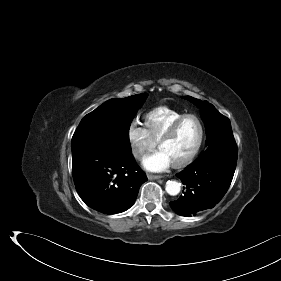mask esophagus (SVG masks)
I'll return each mask as SVG.
<instances>
[{"label": "esophagus", "instance_id": "esophagus-1", "mask_svg": "<svg viewBox=\"0 0 281 281\" xmlns=\"http://www.w3.org/2000/svg\"><path fill=\"white\" fill-rule=\"evenodd\" d=\"M147 178H148L149 180H156V179L162 178V176H161V175L148 174V175H147Z\"/></svg>", "mask_w": 281, "mask_h": 281}]
</instances>
